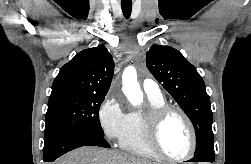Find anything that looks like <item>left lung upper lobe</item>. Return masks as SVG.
<instances>
[{
  "instance_id": "1",
  "label": "left lung upper lobe",
  "mask_w": 251,
  "mask_h": 164,
  "mask_svg": "<svg viewBox=\"0 0 251 164\" xmlns=\"http://www.w3.org/2000/svg\"><path fill=\"white\" fill-rule=\"evenodd\" d=\"M146 65L192 121L196 131L194 156L215 158L210 99L196 68L178 50L162 45L150 48Z\"/></svg>"
}]
</instances>
